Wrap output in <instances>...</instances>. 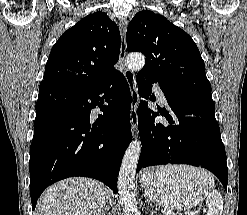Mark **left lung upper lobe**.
I'll list each match as a JSON object with an SVG mask.
<instances>
[{
  "instance_id": "obj_1",
  "label": "left lung upper lobe",
  "mask_w": 247,
  "mask_h": 215,
  "mask_svg": "<svg viewBox=\"0 0 247 215\" xmlns=\"http://www.w3.org/2000/svg\"><path fill=\"white\" fill-rule=\"evenodd\" d=\"M126 40L128 51L146 56L140 72L178 91L212 98L195 42L164 16L149 10L137 13L128 25Z\"/></svg>"
}]
</instances>
